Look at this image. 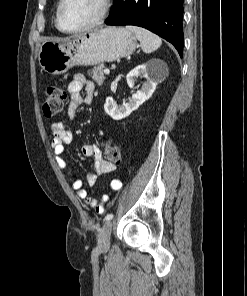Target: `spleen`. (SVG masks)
Wrapping results in <instances>:
<instances>
[{"label": "spleen", "instance_id": "obj_1", "mask_svg": "<svg viewBox=\"0 0 247 296\" xmlns=\"http://www.w3.org/2000/svg\"><path fill=\"white\" fill-rule=\"evenodd\" d=\"M126 29L131 31L141 42V48L145 53L157 50L162 44L161 38L147 29L137 26H126Z\"/></svg>", "mask_w": 247, "mask_h": 296}]
</instances>
